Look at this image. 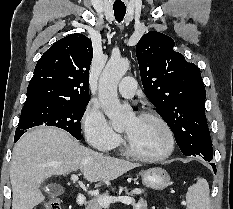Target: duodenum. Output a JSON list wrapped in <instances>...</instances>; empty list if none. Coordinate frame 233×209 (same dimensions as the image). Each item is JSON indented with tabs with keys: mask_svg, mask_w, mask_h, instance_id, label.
<instances>
[{
	"mask_svg": "<svg viewBox=\"0 0 233 209\" xmlns=\"http://www.w3.org/2000/svg\"><path fill=\"white\" fill-rule=\"evenodd\" d=\"M76 204L78 206H84L86 204V198H85V196L82 195V194H78L76 196Z\"/></svg>",
	"mask_w": 233,
	"mask_h": 209,
	"instance_id": "410a0bca",
	"label": "duodenum"
}]
</instances>
